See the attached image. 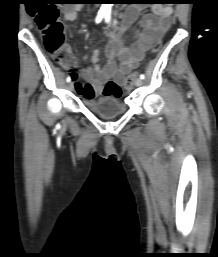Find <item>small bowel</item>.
<instances>
[{"label": "small bowel", "mask_w": 218, "mask_h": 257, "mask_svg": "<svg viewBox=\"0 0 218 257\" xmlns=\"http://www.w3.org/2000/svg\"><path fill=\"white\" fill-rule=\"evenodd\" d=\"M79 10L80 7L77 5L64 7L63 19L65 21L76 20ZM141 10L140 5L129 6L121 15L120 23L117 25L116 22H113L116 30L107 45L108 60L104 66L98 64L99 51L94 50L90 56L92 62L90 67L81 72H78L75 67L71 69L76 92L84 99H95L102 95L101 89H104L102 83H105L106 79H115L119 85L124 84L126 75L139 66L146 51L155 42L160 41L169 30L173 10L170 6L158 5L154 7L153 13L142 16L139 29L134 34L135 41L131 47L124 45L122 36L138 19ZM115 57L119 58V65L116 64ZM124 98H126V89H124Z\"/></svg>", "instance_id": "small-bowel-1"}]
</instances>
